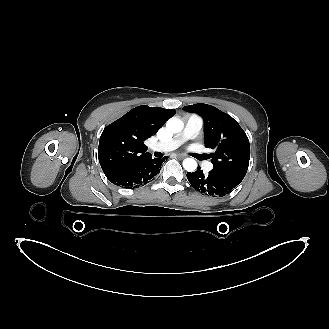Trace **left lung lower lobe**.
Segmentation results:
<instances>
[{"label": "left lung lower lobe", "mask_w": 329, "mask_h": 329, "mask_svg": "<svg viewBox=\"0 0 329 329\" xmlns=\"http://www.w3.org/2000/svg\"><path fill=\"white\" fill-rule=\"evenodd\" d=\"M187 178L195 190L213 197L224 196L240 184V182L212 170L208 174H204L200 168L193 173L188 172Z\"/></svg>", "instance_id": "1"}]
</instances>
